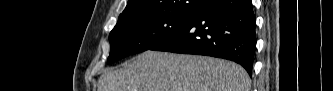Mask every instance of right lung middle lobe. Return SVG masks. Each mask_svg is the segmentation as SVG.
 Masks as SVG:
<instances>
[{
    "mask_svg": "<svg viewBox=\"0 0 333 91\" xmlns=\"http://www.w3.org/2000/svg\"><path fill=\"white\" fill-rule=\"evenodd\" d=\"M213 0H204V8ZM196 14H157L144 16L116 25L109 34L113 63L131 54L152 49L184 27Z\"/></svg>",
    "mask_w": 333,
    "mask_h": 91,
    "instance_id": "dd1d6c3e",
    "label": "right lung middle lobe"
}]
</instances>
